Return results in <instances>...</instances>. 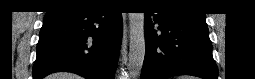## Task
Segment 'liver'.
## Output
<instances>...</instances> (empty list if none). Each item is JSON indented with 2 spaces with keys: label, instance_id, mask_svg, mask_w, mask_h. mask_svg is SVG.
I'll return each mask as SVG.
<instances>
[{
  "label": "liver",
  "instance_id": "liver-1",
  "mask_svg": "<svg viewBox=\"0 0 255 79\" xmlns=\"http://www.w3.org/2000/svg\"><path fill=\"white\" fill-rule=\"evenodd\" d=\"M48 79H81V77L71 73H56L48 76Z\"/></svg>",
  "mask_w": 255,
  "mask_h": 79
}]
</instances>
